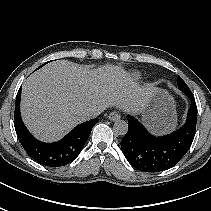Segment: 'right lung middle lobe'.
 I'll return each mask as SVG.
<instances>
[{
	"instance_id": "dd1d6c3e",
	"label": "right lung middle lobe",
	"mask_w": 211,
	"mask_h": 211,
	"mask_svg": "<svg viewBox=\"0 0 211 211\" xmlns=\"http://www.w3.org/2000/svg\"><path fill=\"white\" fill-rule=\"evenodd\" d=\"M46 63H48V62H46ZM46 63H45V64H46ZM45 64H43L42 66H44ZM42 66H40V67H42ZM40 67H39V68H40ZM39 68H38V69H39Z\"/></svg>"
}]
</instances>
